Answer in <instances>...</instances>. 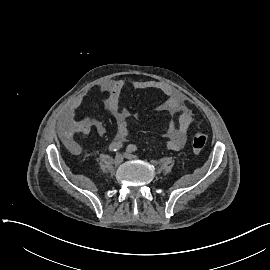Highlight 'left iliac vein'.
<instances>
[{
    "label": "left iliac vein",
    "mask_w": 270,
    "mask_h": 270,
    "mask_svg": "<svg viewBox=\"0 0 270 270\" xmlns=\"http://www.w3.org/2000/svg\"><path fill=\"white\" fill-rule=\"evenodd\" d=\"M124 157H125L126 159H135V158H136L135 155H133V154H131V153H128V152H126V153L124 154Z\"/></svg>",
    "instance_id": "4c4485c4"
}]
</instances>
